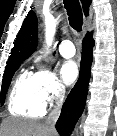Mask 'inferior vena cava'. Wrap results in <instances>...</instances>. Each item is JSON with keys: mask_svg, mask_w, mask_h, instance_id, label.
<instances>
[{"mask_svg": "<svg viewBox=\"0 0 117 136\" xmlns=\"http://www.w3.org/2000/svg\"><path fill=\"white\" fill-rule=\"evenodd\" d=\"M63 93L64 91H61V94L59 95L60 101L58 105L52 110V112L49 114L47 120L45 121L46 126L51 130L55 131V122L57 121L60 112H61V104L63 101Z\"/></svg>", "mask_w": 117, "mask_h": 136, "instance_id": "inferior-vena-cava-1", "label": "inferior vena cava"}]
</instances>
